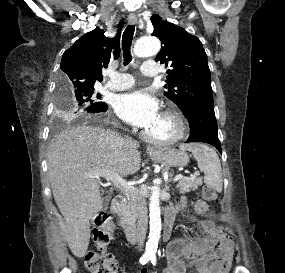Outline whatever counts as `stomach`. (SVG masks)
<instances>
[{
	"label": "stomach",
	"instance_id": "obj_1",
	"mask_svg": "<svg viewBox=\"0 0 285 273\" xmlns=\"http://www.w3.org/2000/svg\"><path fill=\"white\" fill-rule=\"evenodd\" d=\"M150 157L157 162L172 167H183L189 162V156L182 148L161 150L150 154Z\"/></svg>",
	"mask_w": 285,
	"mask_h": 273
}]
</instances>
